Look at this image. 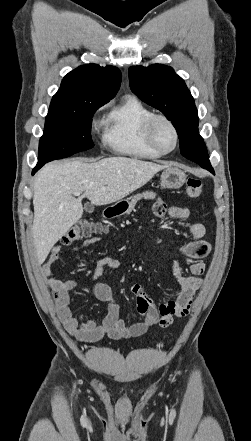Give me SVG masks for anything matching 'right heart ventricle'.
Returning <instances> with one entry per match:
<instances>
[{
  "instance_id": "right-heart-ventricle-1",
  "label": "right heart ventricle",
  "mask_w": 251,
  "mask_h": 441,
  "mask_svg": "<svg viewBox=\"0 0 251 441\" xmlns=\"http://www.w3.org/2000/svg\"><path fill=\"white\" fill-rule=\"evenodd\" d=\"M137 97L125 96L114 105L104 122V143L115 153L143 159H158L162 155L149 146L145 125L153 115Z\"/></svg>"
}]
</instances>
